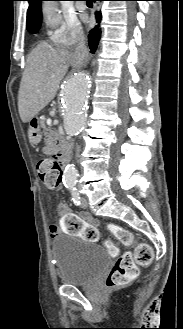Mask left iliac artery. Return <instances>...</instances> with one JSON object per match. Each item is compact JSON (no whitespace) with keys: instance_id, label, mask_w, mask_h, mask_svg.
I'll return each instance as SVG.
<instances>
[{"instance_id":"44dca946","label":"left iliac artery","mask_w":183,"mask_h":329,"mask_svg":"<svg viewBox=\"0 0 183 329\" xmlns=\"http://www.w3.org/2000/svg\"><path fill=\"white\" fill-rule=\"evenodd\" d=\"M72 200L76 206L80 205V195L76 188L71 189Z\"/></svg>"}]
</instances>
